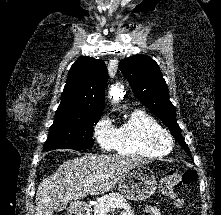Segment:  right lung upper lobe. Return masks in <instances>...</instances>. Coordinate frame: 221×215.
<instances>
[{
	"label": "right lung upper lobe",
	"instance_id": "1",
	"mask_svg": "<svg viewBox=\"0 0 221 215\" xmlns=\"http://www.w3.org/2000/svg\"><path fill=\"white\" fill-rule=\"evenodd\" d=\"M107 80L104 61L92 57L79 58L69 70L56 113L102 114Z\"/></svg>",
	"mask_w": 221,
	"mask_h": 215
}]
</instances>
